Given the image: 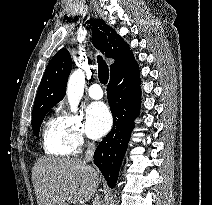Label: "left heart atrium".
Masks as SVG:
<instances>
[{
    "label": "left heart atrium",
    "mask_w": 212,
    "mask_h": 205,
    "mask_svg": "<svg viewBox=\"0 0 212 205\" xmlns=\"http://www.w3.org/2000/svg\"><path fill=\"white\" fill-rule=\"evenodd\" d=\"M112 126V116L102 102L92 103L87 110V133L97 139L106 134Z\"/></svg>",
    "instance_id": "left-heart-atrium-1"
}]
</instances>
